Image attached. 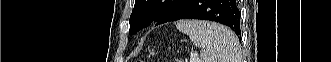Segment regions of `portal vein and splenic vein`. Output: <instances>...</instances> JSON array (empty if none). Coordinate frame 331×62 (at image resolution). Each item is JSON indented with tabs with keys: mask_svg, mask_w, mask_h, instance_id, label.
Here are the masks:
<instances>
[{
	"mask_svg": "<svg viewBox=\"0 0 331 62\" xmlns=\"http://www.w3.org/2000/svg\"><path fill=\"white\" fill-rule=\"evenodd\" d=\"M196 58H197V54H192L190 58V62H195Z\"/></svg>",
	"mask_w": 331,
	"mask_h": 62,
	"instance_id": "portal-vein-and-splenic-vein-1",
	"label": "portal vein and splenic vein"
}]
</instances>
